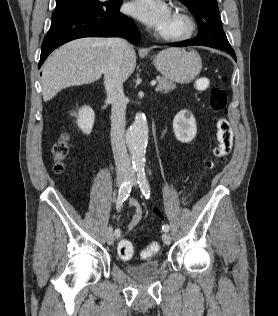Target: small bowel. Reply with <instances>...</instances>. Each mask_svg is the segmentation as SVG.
Listing matches in <instances>:
<instances>
[{"mask_svg":"<svg viewBox=\"0 0 278 316\" xmlns=\"http://www.w3.org/2000/svg\"><path fill=\"white\" fill-rule=\"evenodd\" d=\"M129 204L133 208L134 213H133L130 223L128 224V227H127L128 231L134 229L141 222L143 218V211L138 201L135 199H131L129 201ZM156 216L162 217L161 213L159 212H156Z\"/></svg>","mask_w":278,"mask_h":316,"instance_id":"c3829d8e","label":"small bowel"}]
</instances>
